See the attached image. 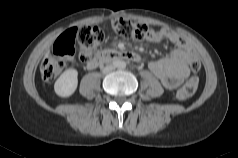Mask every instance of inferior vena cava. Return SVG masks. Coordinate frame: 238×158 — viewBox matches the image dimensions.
<instances>
[{
	"label": "inferior vena cava",
	"mask_w": 238,
	"mask_h": 158,
	"mask_svg": "<svg viewBox=\"0 0 238 158\" xmlns=\"http://www.w3.org/2000/svg\"><path fill=\"white\" fill-rule=\"evenodd\" d=\"M112 70H114V66L113 65H107L106 67H104L103 72L108 73Z\"/></svg>",
	"instance_id": "602c4592"
}]
</instances>
